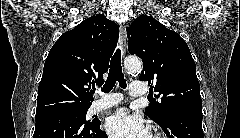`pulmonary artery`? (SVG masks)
I'll use <instances>...</instances> for the list:
<instances>
[{
    "instance_id": "1",
    "label": "pulmonary artery",
    "mask_w": 240,
    "mask_h": 138,
    "mask_svg": "<svg viewBox=\"0 0 240 138\" xmlns=\"http://www.w3.org/2000/svg\"><path fill=\"white\" fill-rule=\"evenodd\" d=\"M147 93V89L143 82L133 81L130 84V94L133 97H143ZM102 98L93 102L91 109L93 112L111 108L121 102V96L118 94H101Z\"/></svg>"
}]
</instances>
